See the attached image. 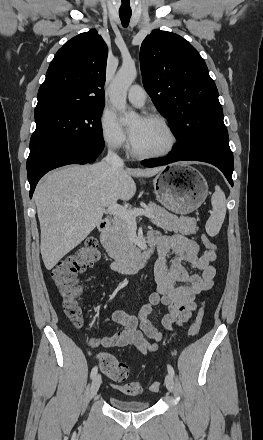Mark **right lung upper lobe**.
I'll list each match as a JSON object with an SVG mask.
<instances>
[{"label":"right lung upper lobe","mask_w":263,"mask_h":440,"mask_svg":"<svg viewBox=\"0 0 263 440\" xmlns=\"http://www.w3.org/2000/svg\"><path fill=\"white\" fill-rule=\"evenodd\" d=\"M107 55V46L95 30L70 39L51 61L35 109L104 106Z\"/></svg>","instance_id":"cb5924a9"}]
</instances>
